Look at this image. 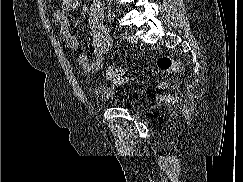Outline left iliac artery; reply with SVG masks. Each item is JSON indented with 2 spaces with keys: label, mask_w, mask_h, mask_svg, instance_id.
<instances>
[{
  "label": "left iliac artery",
  "mask_w": 243,
  "mask_h": 182,
  "mask_svg": "<svg viewBox=\"0 0 243 182\" xmlns=\"http://www.w3.org/2000/svg\"><path fill=\"white\" fill-rule=\"evenodd\" d=\"M120 38L121 39H125L126 38V35L125 34H120Z\"/></svg>",
  "instance_id": "left-iliac-artery-1"
}]
</instances>
